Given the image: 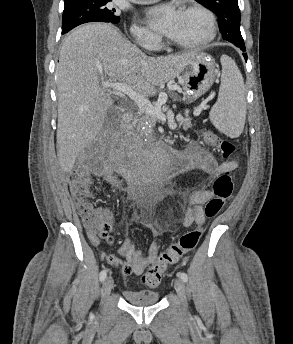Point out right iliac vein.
I'll return each mask as SVG.
<instances>
[{
    "label": "right iliac vein",
    "instance_id": "obj_1",
    "mask_svg": "<svg viewBox=\"0 0 293 344\" xmlns=\"http://www.w3.org/2000/svg\"><path fill=\"white\" fill-rule=\"evenodd\" d=\"M114 281L112 277H107L102 285L101 293L102 297H106L110 294L112 288H113Z\"/></svg>",
    "mask_w": 293,
    "mask_h": 344
}]
</instances>
